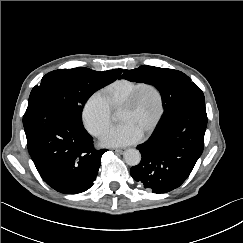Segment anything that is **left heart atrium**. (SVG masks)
I'll list each match as a JSON object with an SVG mask.
<instances>
[{
    "label": "left heart atrium",
    "instance_id": "39dd6f15",
    "mask_svg": "<svg viewBox=\"0 0 243 243\" xmlns=\"http://www.w3.org/2000/svg\"><path fill=\"white\" fill-rule=\"evenodd\" d=\"M142 133L128 123H122L110 130L102 139L103 145L106 146H126L139 141Z\"/></svg>",
    "mask_w": 243,
    "mask_h": 243
}]
</instances>
